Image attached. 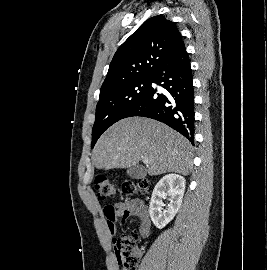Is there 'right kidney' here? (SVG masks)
Returning a JSON list of instances; mask_svg holds the SVG:
<instances>
[{
    "label": "right kidney",
    "mask_w": 267,
    "mask_h": 270,
    "mask_svg": "<svg viewBox=\"0 0 267 270\" xmlns=\"http://www.w3.org/2000/svg\"><path fill=\"white\" fill-rule=\"evenodd\" d=\"M185 192V178L178 174H168L162 177L156 184L149 206V214L153 224L158 228H164L180 209ZM166 196L170 197L167 210H163L162 201Z\"/></svg>",
    "instance_id": "right-kidney-1"
}]
</instances>
